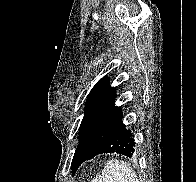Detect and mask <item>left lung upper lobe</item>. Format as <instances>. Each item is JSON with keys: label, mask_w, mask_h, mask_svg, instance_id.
<instances>
[{"label": "left lung upper lobe", "mask_w": 196, "mask_h": 182, "mask_svg": "<svg viewBox=\"0 0 196 182\" xmlns=\"http://www.w3.org/2000/svg\"><path fill=\"white\" fill-rule=\"evenodd\" d=\"M116 90L104 77L97 82L88 95L84 117L79 128V145L71 168L74 169L76 154L93 151L122 121V111L115 106Z\"/></svg>", "instance_id": "obj_1"}]
</instances>
